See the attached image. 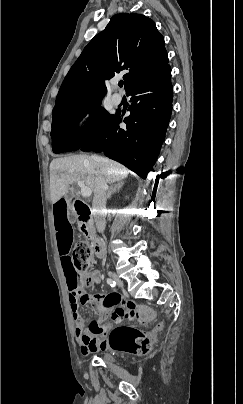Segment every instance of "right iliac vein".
<instances>
[{
  "label": "right iliac vein",
  "instance_id": "obj_1",
  "mask_svg": "<svg viewBox=\"0 0 243 404\" xmlns=\"http://www.w3.org/2000/svg\"><path fill=\"white\" fill-rule=\"evenodd\" d=\"M111 277L120 287L124 286L123 281L115 273H111Z\"/></svg>",
  "mask_w": 243,
  "mask_h": 404
}]
</instances>
